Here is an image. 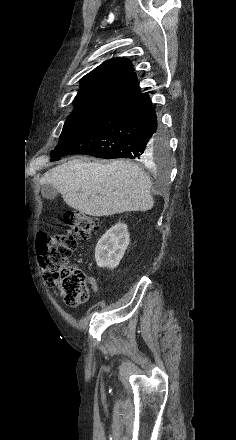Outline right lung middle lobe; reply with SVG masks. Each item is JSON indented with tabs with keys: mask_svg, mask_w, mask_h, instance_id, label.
<instances>
[{
	"mask_svg": "<svg viewBox=\"0 0 236 440\" xmlns=\"http://www.w3.org/2000/svg\"><path fill=\"white\" fill-rule=\"evenodd\" d=\"M75 108L67 118L62 133L60 135L59 143L56 148L61 147L67 141L88 129L96 121H98L105 114L110 112L114 107L108 105H100L93 103H74ZM55 148V149H56ZM168 158L167 141L162 137H158L155 142V149L150 158L155 162L162 163Z\"/></svg>",
	"mask_w": 236,
	"mask_h": 440,
	"instance_id": "obj_1",
	"label": "right lung middle lobe"
}]
</instances>
